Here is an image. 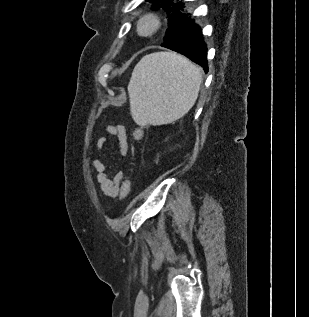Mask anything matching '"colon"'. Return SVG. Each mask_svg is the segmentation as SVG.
<instances>
[{
  "label": "colon",
  "mask_w": 309,
  "mask_h": 317,
  "mask_svg": "<svg viewBox=\"0 0 309 317\" xmlns=\"http://www.w3.org/2000/svg\"><path fill=\"white\" fill-rule=\"evenodd\" d=\"M132 135L135 140H140L143 136V131L141 129H135ZM130 191H131V182L127 178L123 181L121 186V197L123 199L127 198L128 195L130 194Z\"/></svg>",
  "instance_id": "obj_1"
}]
</instances>
